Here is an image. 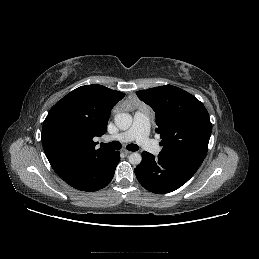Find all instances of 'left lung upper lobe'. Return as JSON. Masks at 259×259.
I'll use <instances>...</instances> for the list:
<instances>
[{
  "label": "left lung upper lobe",
  "mask_w": 259,
  "mask_h": 259,
  "mask_svg": "<svg viewBox=\"0 0 259 259\" xmlns=\"http://www.w3.org/2000/svg\"><path fill=\"white\" fill-rule=\"evenodd\" d=\"M156 113L161 155L201 165L212 131L204 105L188 92L165 85L136 92Z\"/></svg>",
  "instance_id": "obj_1"
}]
</instances>
